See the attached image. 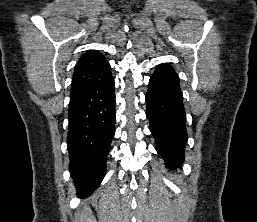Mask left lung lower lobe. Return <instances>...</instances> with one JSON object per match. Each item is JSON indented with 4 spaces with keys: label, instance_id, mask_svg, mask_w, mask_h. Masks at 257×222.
I'll list each match as a JSON object with an SVG mask.
<instances>
[{
    "label": "left lung lower lobe",
    "instance_id": "0a47b994",
    "mask_svg": "<svg viewBox=\"0 0 257 222\" xmlns=\"http://www.w3.org/2000/svg\"><path fill=\"white\" fill-rule=\"evenodd\" d=\"M146 103L156 150L168 168H178L184 161L188 136L179 77L169 64H160L151 76Z\"/></svg>",
    "mask_w": 257,
    "mask_h": 222
}]
</instances>
